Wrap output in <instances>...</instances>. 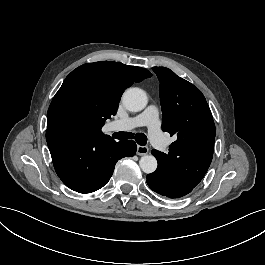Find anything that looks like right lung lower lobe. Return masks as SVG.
Masks as SVG:
<instances>
[{"instance_id":"1","label":"right lung lower lobe","mask_w":265,"mask_h":265,"mask_svg":"<svg viewBox=\"0 0 265 265\" xmlns=\"http://www.w3.org/2000/svg\"><path fill=\"white\" fill-rule=\"evenodd\" d=\"M46 140L55 171L62 182L79 193L103 187L116 162L136 153L133 140L116 142L103 133L47 129Z\"/></svg>"}]
</instances>
